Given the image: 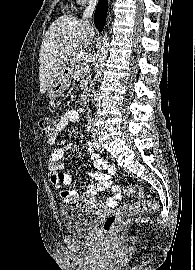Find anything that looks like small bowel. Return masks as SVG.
Segmentation results:
<instances>
[{
    "mask_svg": "<svg viewBox=\"0 0 195 270\" xmlns=\"http://www.w3.org/2000/svg\"><path fill=\"white\" fill-rule=\"evenodd\" d=\"M78 122V113L75 110L65 111L59 118L54 133L48 137L47 143L53 147V152L47 164V170L50 176L52 186L59 190L64 204L71 205L83 201L85 203L95 202V195L98 191L110 189L111 196L106 204L109 208L115 207L120 199V187L114 184L112 177L116 173V168L100 155H98L91 145L87 146L92 164L105 173L88 172L87 176L96 180V183L89 184L83 194L75 190H62L63 185H70L73 181L71 174L64 172L65 163L63 162L64 153L70 148V145L60 147L57 145L58 134L69 124Z\"/></svg>",
    "mask_w": 195,
    "mask_h": 270,
    "instance_id": "obj_1",
    "label": "small bowel"
}]
</instances>
